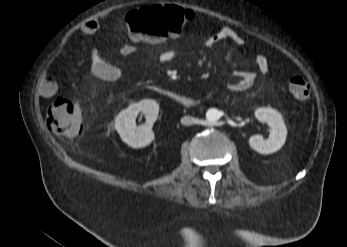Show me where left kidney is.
Returning a JSON list of instances; mask_svg holds the SVG:
<instances>
[{
    "instance_id": "1",
    "label": "left kidney",
    "mask_w": 347,
    "mask_h": 247,
    "mask_svg": "<svg viewBox=\"0 0 347 247\" xmlns=\"http://www.w3.org/2000/svg\"><path fill=\"white\" fill-rule=\"evenodd\" d=\"M257 120L267 123L270 127V134L267 139L261 135H253L249 138L251 148L260 154H270L278 151L285 143L287 128L281 114L272 108H258L255 111Z\"/></svg>"
}]
</instances>
